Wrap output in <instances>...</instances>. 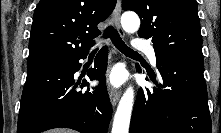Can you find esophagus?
<instances>
[{
  "label": "esophagus",
  "mask_w": 221,
  "mask_h": 133,
  "mask_svg": "<svg viewBox=\"0 0 221 133\" xmlns=\"http://www.w3.org/2000/svg\"><path fill=\"white\" fill-rule=\"evenodd\" d=\"M120 16H121V1L117 0L115 9L113 11V23H114L116 29L118 30V32L120 33V35L124 36L125 35L124 31H123V29L121 28V25H120ZM120 95H121L120 90H116V89H113V88L110 89L109 97H110V101H111L113 106H115L117 104V102L119 101Z\"/></svg>",
  "instance_id": "obj_1"
}]
</instances>
